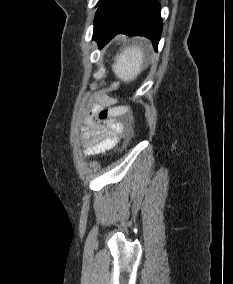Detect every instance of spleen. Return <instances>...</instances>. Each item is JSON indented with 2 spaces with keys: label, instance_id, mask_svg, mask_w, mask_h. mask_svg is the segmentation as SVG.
<instances>
[{
  "label": "spleen",
  "instance_id": "1",
  "mask_svg": "<svg viewBox=\"0 0 233 284\" xmlns=\"http://www.w3.org/2000/svg\"><path fill=\"white\" fill-rule=\"evenodd\" d=\"M143 61L144 54L140 47H127L115 57L112 69L119 79L129 82L134 80L144 69Z\"/></svg>",
  "mask_w": 233,
  "mask_h": 284
}]
</instances>
